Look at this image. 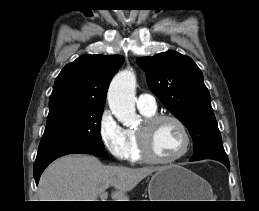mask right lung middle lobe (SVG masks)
I'll return each instance as SVG.
<instances>
[{
	"label": "right lung middle lobe",
	"mask_w": 259,
	"mask_h": 211,
	"mask_svg": "<svg viewBox=\"0 0 259 211\" xmlns=\"http://www.w3.org/2000/svg\"><path fill=\"white\" fill-rule=\"evenodd\" d=\"M103 108L73 109L47 119L38 151L60 145L104 149L100 135Z\"/></svg>",
	"instance_id": "right-lung-middle-lobe-1"
}]
</instances>
